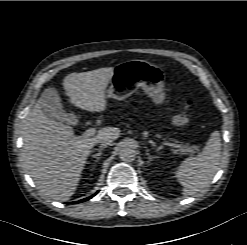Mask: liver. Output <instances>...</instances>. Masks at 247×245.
Segmentation results:
<instances>
[{"mask_svg": "<svg viewBox=\"0 0 247 245\" xmlns=\"http://www.w3.org/2000/svg\"><path fill=\"white\" fill-rule=\"evenodd\" d=\"M113 72V67H106L68 74L63 86L70 103L90 112L106 111V88ZM119 135L118 128L104 127L94 137L74 136L73 128L49 118L38 100L24 120L22 161L41 192L67 201L76 191L91 149Z\"/></svg>", "mask_w": 247, "mask_h": 245, "instance_id": "1", "label": "liver"}]
</instances>
